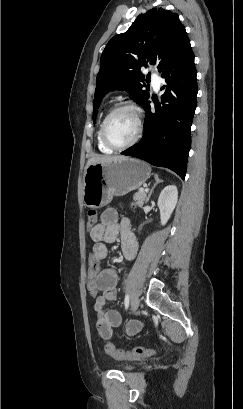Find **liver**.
<instances>
[{"mask_svg": "<svg viewBox=\"0 0 243 409\" xmlns=\"http://www.w3.org/2000/svg\"><path fill=\"white\" fill-rule=\"evenodd\" d=\"M123 158V156H96V157H92L88 160L87 162V166L94 164V163H106V162H110V161H114L117 159H121Z\"/></svg>", "mask_w": 243, "mask_h": 409, "instance_id": "6515ba94", "label": "liver"}]
</instances>
